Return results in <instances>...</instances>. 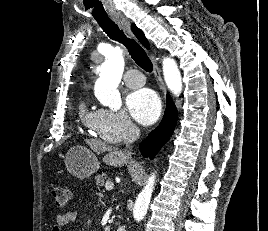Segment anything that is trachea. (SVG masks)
Wrapping results in <instances>:
<instances>
[{
    "mask_svg": "<svg viewBox=\"0 0 268 231\" xmlns=\"http://www.w3.org/2000/svg\"><path fill=\"white\" fill-rule=\"evenodd\" d=\"M103 31L113 40L122 43L129 51L135 63L147 72L153 70V65L144 49L133 39L128 38L118 25L110 18L96 19Z\"/></svg>",
    "mask_w": 268,
    "mask_h": 231,
    "instance_id": "1",
    "label": "trachea"
}]
</instances>
